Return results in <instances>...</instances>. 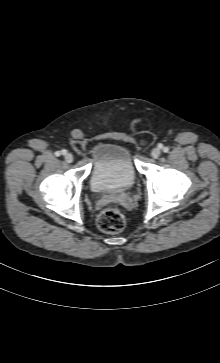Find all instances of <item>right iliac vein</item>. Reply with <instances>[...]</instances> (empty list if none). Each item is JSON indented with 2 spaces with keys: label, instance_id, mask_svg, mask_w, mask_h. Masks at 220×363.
<instances>
[{
  "label": "right iliac vein",
  "instance_id": "obj_1",
  "mask_svg": "<svg viewBox=\"0 0 220 363\" xmlns=\"http://www.w3.org/2000/svg\"><path fill=\"white\" fill-rule=\"evenodd\" d=\"M65 161L71 163L73 161V155L71 153H65L64 155Z\"/></svg>",
  "mask_w": 220,
  "mask_h": 363
}]
</instances>
